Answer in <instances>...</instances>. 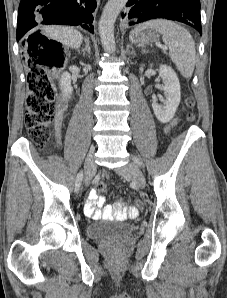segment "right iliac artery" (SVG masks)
I'll return each mask as SVG.
<instances>
[{"mask_svg":"<svg viewBox=\"0 0 227 298\" xmlns=\"http://www.w3.org/2000/svg\"><path fill=\"white\" fill-rule=\"evenodd\" d=\"M82 179H83V172L80 171V172L77 174V177H76V182H75V190H76V191L79 190L80 185H81V182H82Z\"/></svg>","mask_w":227,"mask_h":298,"instance_id":"right-iliac-artery-1","label":"right iliac artery"}]
</instances>
